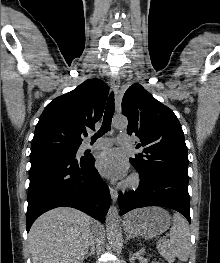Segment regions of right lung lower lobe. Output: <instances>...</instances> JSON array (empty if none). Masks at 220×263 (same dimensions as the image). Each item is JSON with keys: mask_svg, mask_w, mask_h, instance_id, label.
Returning <instances> with one entry per match:
<instances>
[{"mask_svg": "<svg viewBox=\"0 0 220 263\" xmlns=\"http://www.w3.org/2000/svg\"><path fill=\"white\" fill-rule=\"evenodd\" d=\"M27 232L42 213L68 206L104 222L111 203L109 188L92 156L69 159L52 151L30 154Z\"/></svg>", "mask_w": 220, "mask_h": 263, "instance_id": "1", "label": "right lung lower lobe"}]
</instances>
